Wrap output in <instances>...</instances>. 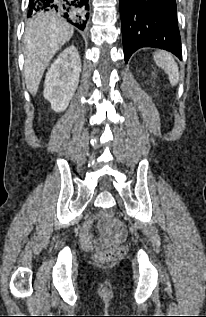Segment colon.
Listing matches in <instances>:
<instances>
[{
  "mask_svg": "<svg viewBox=\"0 0 206 317\" xmlns=\"http://www.w3.org/2000/svg\"><path fill=\"white\" fill-rule=\"evenodd\" d=\"M99 217L105 221H111L113 215L108 210L100 212ZM93 253L94 259L99 263H109L121 257L126 252L124 245H112L103 239H91L85 246Z\"/></svg>",
  "mask_w": 206,
  "mask_h": 317,
  "instance_id": "colon-1",
  "label": "colon"
}]
</instances>
